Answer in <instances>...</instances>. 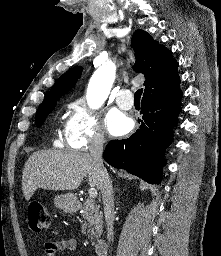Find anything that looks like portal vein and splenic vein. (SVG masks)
Here are the masks:
<instances>
[{
	"label": "portal vein and splenic vein",
	"instance_id": "portal-vein-and-splenic-vein-1",
	"mask_svg": "<svg viewBox=\"0 0 221 256\" xmlns=\"http://www.w3.org/2000/svg\"><path fill=\"white\" fill-rule=\"evenodd\" d=\"M88 194L90 198H95L98 195L97 190L93 187L88 190Z\"/></svg>",
	"mask_w": 221,
	"mask_h": 256
}]
</instances>
